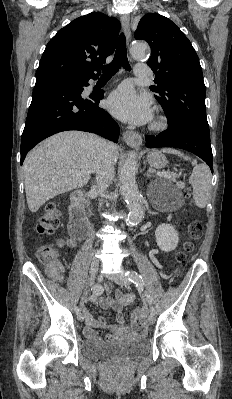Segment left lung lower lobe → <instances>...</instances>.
<instances>
[{"label":"left lung lower lobe","mask_w":232,"mask_h":399,"mask_svg":"<svg viewBox=\"0 0 232 399\" xmlns=\"http://www.w3.org/2000/svg\"><path fill=\"white\" fill-rule=\"evenodd\" d=\"M147 148L174 147L187 150L203 159L213 172V155L210 137L190 127L168 123V129L157 136H145Z\"/></svg>","instance_id":"obj_1"}]
</instances>
